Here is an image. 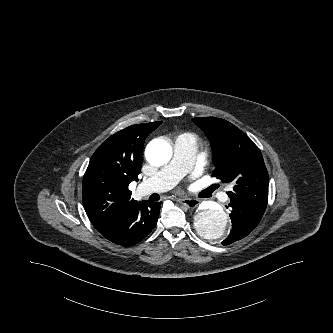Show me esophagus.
Segmentation results:
<instances>
[{
    "label": "esophagus",
    "mask_w": 333,
    "mask_h": 333,
    "mask_svg": "<svg viewBox=\"0 0 333 333\" xmlns=\"http://www.w3.org/2000/svg\"><path fill=\"white\" fill-rule=\"evenodd\" d=\"M179 201L182 205L186 206L189 209H194L200 204V200L195 198L184 197L181 198Z\"/></svg>",
    "instance_id": "1"
}]
</instances>
